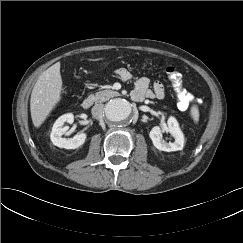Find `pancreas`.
I'll return each instance as SVG.
<instances>
[{
  "label": "pancreas",
  "mask_w": 243,
  "mask_h": 243,
  "mask_svg": "<svg viewBox=\"0 0 243 243\" xmlns=\"http://www.w3.org/2000/svg\"><path fill=\"white\" fill-rule=\"evenodd\" d=\"M119 95L120 94L117 91L107 89L96 92L95 94H91L89 96V99L95 103H101L109 100L110 98L117 97Z\"/></svg>",
  "instance_id": "1"
}]
</instances>
